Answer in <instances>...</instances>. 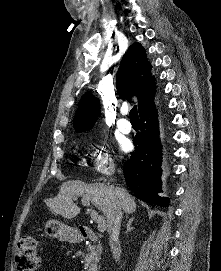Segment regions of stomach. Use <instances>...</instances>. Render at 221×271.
Here are the masks:
<instances>
[{"label": "stomach", "instance_id": "stomach-1", "mask_svg": "<svg viewBox=\"0 0 221 271\" xmlns=\"http://www.w3.org/2000/svg\"><path fill=\"white\" fill-rule=\"evenodd\" d=\"M44 227L49 237H58L61 241H65L67 238H77L79 235V230H72V227H68L66 223L58 221V219H49Z\"/></svg>", "mask_w": 221, "mask_h": 271}]
</instances>
